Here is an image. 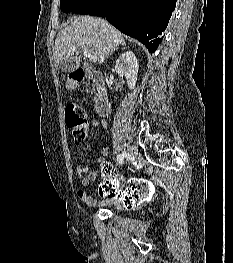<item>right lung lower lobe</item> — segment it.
<instances>
[{"label": "right lung lower lobe", "mask_w": 233, "mask_h": 263, "mask_svg": "<svg viewBox=\"0 0 233 263\" xmlns=\"http://www.w3.org/2000/svg\"><path fill=\"white\" fill-rule=\"evenodd\" d=\"M175 5L176 0H101L88 14L106 17L153 53L161 43Z\"/></svg>", "instance_id": "98d812e1"}]
</instances>
